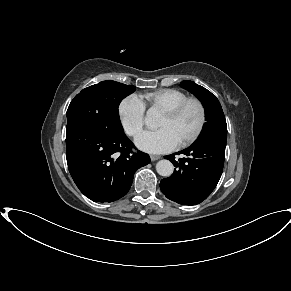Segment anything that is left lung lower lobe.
Masks as SVG:
<instances>
[{"mask_svg":"<svg viewBox=\"0 0 291 291\" xmlns=\"http://www.w3.org/2000/svg\"><path fill=\"white\" fill-rule=\"evenodd\" d=\"M226 139L205 138L189 148L165 156L172 161L174 173L160 182L162 193L182 205H196L205 200L216 187L224 165ZM187 157L175 160V155Z\"/></svg>","mask_w":291,"mask_h":291,"instance_id":"left-lung-lower-lobe-1","label":"left lung lower lobe"}]
</instances>
